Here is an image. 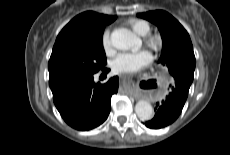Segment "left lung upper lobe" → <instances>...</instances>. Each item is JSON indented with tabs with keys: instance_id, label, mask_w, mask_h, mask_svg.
<instances>
[{
	"instance_id": "5c2ea615",
	"label": "left lung upper lobe",
	"mask_w": 230,
	"mask_h": 155,
	"mask_svg": "<svg viewBox=\"0 0 230 155\" xmlns=\"http://www.w3.org/2000/svg\"><path fill=\"white\" fill-rule=\"evenodd\" d=\"M138 17L157 25L163 40L159 63L166 65L174 79L192 83L195 70V56L189 34L169 13L163 10L138 13Z\"/></svg>"
}]
</instances>
